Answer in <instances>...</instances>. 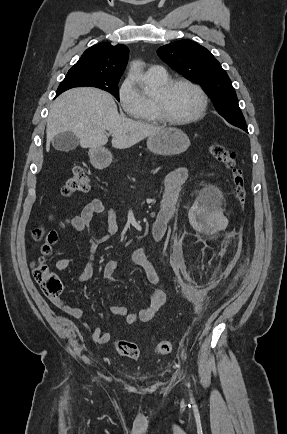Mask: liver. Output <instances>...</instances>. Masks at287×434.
Wrapping results in <instances>:
<instances>
[{
  "label": "liver",
  "instance_id": "1",
  "mask_svg": "<svg viewBox=\"0 0 287 434\" xmlns=\"http://www.w3.org/2000/svg\"><path fill=\"white\" fill-rule=\"evenodd\" d=\"M164 127L154 126L119 115L113 97L90 87L74 88L60 95L53 103L47 119L46 149L60 133L70 132L84 148H102L112 136V146L129 148Z\"/></svg>",
  "mask_w": 287,
  "mask_h": 434
}]
</instances>
